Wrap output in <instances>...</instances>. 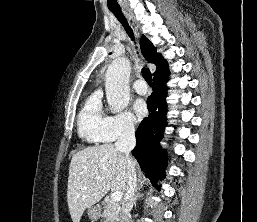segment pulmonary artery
<instances>
[{"mask_svg": "<svg viewBox=\"0 0 257 222\" xmlns=\"http://www.w3.org/2000/svg\"><path fill=\"white\" fill-rule=\"evenodd\" d=\"M134 90L141 95H145L148 92V87L143 80H137L133 84Z\"/></svg>", "mask_w": 257, "mask_h": 222, "instance_id": "obj_1", "label": "pulmonary artery"}]
</instances>
